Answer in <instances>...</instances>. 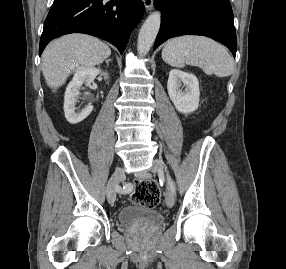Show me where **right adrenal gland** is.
<instances>
[{
	"mask_svg": "<svg viewBox=\"0 0 286 269\" xmlns=\"http://www.w3.org/2000/svg\"><path fill=\"white\" fill-rule=\"evenodd\" d=\"M109 61H111V59H107L106 60L107 65H109Z\"/></svg>",
	"mask_w": 286,
	"mask_h": 269,
	"instance_id": "obj_1",
	"label": "right adrenal gland"
}]
</instances>
